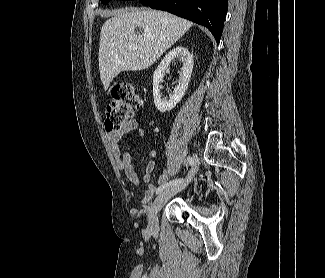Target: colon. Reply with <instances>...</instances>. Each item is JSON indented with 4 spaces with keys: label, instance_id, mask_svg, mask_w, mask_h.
<instances>
[{
    "label": "colon",
    "instance_id": "5ec220e1",
    "mask_svg": "<svg viewBox=\"0 0 325 278\" xmlns=\"http://www.w3.org/2000/svg\"><path fill=\"white\" fill-rule=\"evenodd\" d=\"M111 97V102L105 107L104 120V128L109 132L124 126L143 105L141 96L129 85L115 87Z\"/></svg>",
    "mask_w": 325,
    "mask_h": 278
}]
</instances>
